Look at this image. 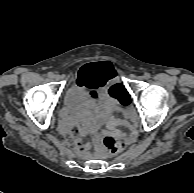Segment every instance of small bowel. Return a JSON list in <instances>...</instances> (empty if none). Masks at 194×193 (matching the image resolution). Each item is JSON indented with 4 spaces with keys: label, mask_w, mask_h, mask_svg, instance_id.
<instances>
[{
    "label": "small bowel",
    "mask_w": 194,
    "mask_h": 193,
    "mask_svg": "<svg viewBox=\"0 0 194 193\" xmlns=\"http://www.w3.org/2000/svg\"><path fill=\"white\" fill-rule=\"evenodd\" d=\"M115 68L106 62H99L84 66L78 77V87L83 89L87 85L88 90L85 91V95L88 99L86 104H74L68 106L63 111L62 118V132L69 138V143L74 146L78 151H84V144L82 137L85 130L77 121V116L83 114L86 116L85 125L88 129L94 130L93 122L95 120L104 119L109 125L113 126L116 119L113 116V110L116 106V101L107 97L105 103L102 102V95L99 91L101 86L106 82H100V78L107 74L115 73ZM122 111L126 117H130L133 111L129 107L122 108ZM76 128L77 131L74 135L70 136L71 130Z\"/></svg>",
    "instance_id": "1"
}]
</instances>
